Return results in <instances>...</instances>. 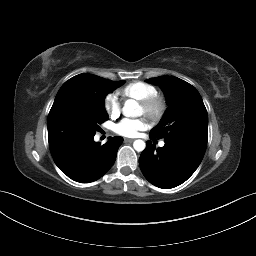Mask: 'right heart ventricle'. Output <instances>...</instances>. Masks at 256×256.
Here are the masks:
<instances>
[{"mask_svg":"<svg viewBox=\"0 0 256 256\" xmlns=\"http://www.w3.org/2000/svg\"><path fill=\"white\" fill-rule=\"evenodd\" d=\"M118 93L124 98L141 101L158 92L155 86L142 81H136L126 85L120 89Z\"/></svg>","mask_w":256,"mask_h":256,"instance_id":"obj_1","label":"right heart ventricle"}]
</instances>
